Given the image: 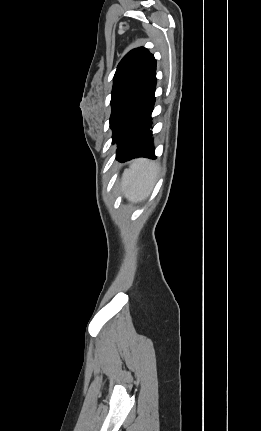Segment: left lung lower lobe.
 <instances>
[{
	"label": "left lung lower lobe",
	"instance_id": "obj_1",
	"mask_svg": "<svg viewBox=\"0 0 261 431\" xmlns=\"http://www.w3.org/2000/svg\"><path fill=\"white\" fill-rule=\"evenodd\" d=\"M156 74L145 82L128 106L119 126L116 159L156 158L152 140L151 113L155 103Z\"/></svg>",
	"mask_w": 261,
	"mask_h": 431
}]
</instances>
